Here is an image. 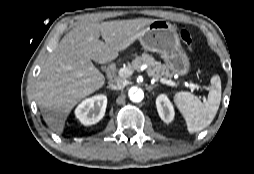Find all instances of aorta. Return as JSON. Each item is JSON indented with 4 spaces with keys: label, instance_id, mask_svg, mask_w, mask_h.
Returning a JSON list of instances; mask_svg holds the SVG:
<instances>
[{
    "label": "aorta",
    "instance_id": "obj_1",
    "mask_svg": "<svg viewBox=\"0 0 254 174\" xmlns=\"http://www.w3.org/2000/svg\"><path fill=\"white\" fill-rule=\"evenodd\" d=\"M129 99L134 103H139L144 98V92L142 89L137 87H132L128 91Z\"/></svg>",
    "mask_w": 254,
    "mask_h": 174
}]
</instances>
